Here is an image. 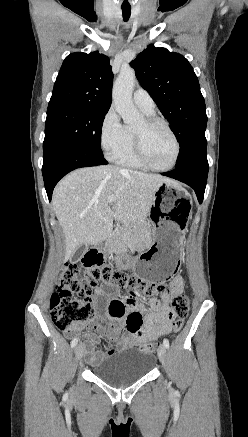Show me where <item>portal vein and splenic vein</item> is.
I'll list each match as a JSON object with an SVG mask.
<instances>
[{
	"instance_id": "obj_1",
	"label": "portal vein and splenic vein",
	"mask_w": 248,
	"mask_h": 437,
	"mask_svg": "<svg viewBox=\"0 0 248 437\" xmlns=\"http://www.w3.org/2000/svg\"><path fill=\"white\" fill-rule=\"evenodd\" d=\"M115 201H116V197L115 196H109L108 199H107V202L110 203V204L114 203Z\"/></svg>"
}]
</instances>
